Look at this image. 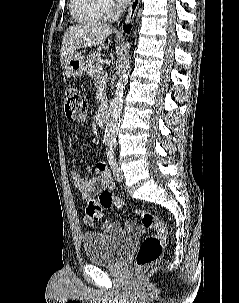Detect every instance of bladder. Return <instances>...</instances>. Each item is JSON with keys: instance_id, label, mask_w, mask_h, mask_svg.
I'll use <instances>...</instances> for the list:
<instances>
[{"instance_id": "1", "label": "bladder", "mask_w": 239, "mask_h": 303, "mask_svg": "<svg viewBox=\"0 0 239 303\" xmlns=\"http://www.w3.org/2000/svg\"><path fill=\"white\" fill-rule=\"evenodd\" d=\"M135 238V234L86 233L83 236L82 245L88 261L103 266H116Z\"/></svg>"}]
</instances>
